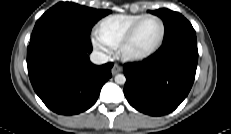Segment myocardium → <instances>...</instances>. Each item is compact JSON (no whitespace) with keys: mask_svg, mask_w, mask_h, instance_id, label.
<instances>
[{"mask_svg":"<svg viewBox=\"0 0 231 134\" xmlns=\"http://www.w3.org/2000/svg\"><path fill=\"white\" fill-rule=\"evenodd\" d=\"M150 18H154L157 19L160 24H161V35L160 38L158 40V42L156 43V45L149 50L146 53H142V54H130L127 49L128 46L130 45V43L132 42V40L134 39L139 27L141 26V24L146 21L147 19ZM165 34H166V26H165V22L163 21V19L155 14H147L144 15L142 18H140L137 22H135L132 27L129 29V31L126 33V35L124 36V38L121 40L119 46H118V52L120 54V56L122 57V59H124L125 61L128 62H139V61H144L150 57H152L162 46L164 38H165Z\"/></svg>","mask_w":231,"mask_h":134,"instance_id":"obj_1","label":"myocardium"}]
</instances>
